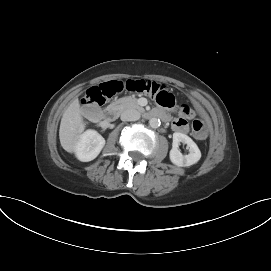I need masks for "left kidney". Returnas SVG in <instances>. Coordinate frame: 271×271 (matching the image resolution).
I'll return each instance as SVG.
<instances>
[{"mask_svg":"<svg viewBox=\"0 0 271 271\" xmlns=\"http://www.w3.org/2000/svg\"><path fill=\"white\" fill-rule=\"evenodd\" d=\"M181 143L187 144L189 154L183 155L179 150ZM201 158V152L196 143L187 135L179 132L173 134L172 149L170 150V160L179 167L191 166Z\"/></svg>","mask_w":271,"mask_h":271,"instance_id":"1","label":"left kidney"}]
</instances>
